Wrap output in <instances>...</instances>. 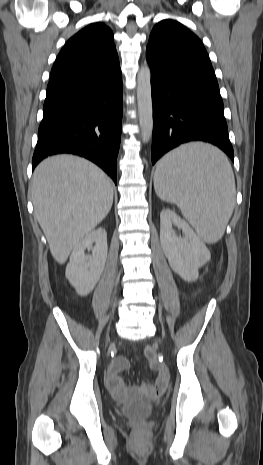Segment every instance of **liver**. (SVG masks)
I'll use <instances>...</instances> for the list:
<instances>
[{"label":"liver","mask_w":263,"mask_h":465,"mask_svg":"<svg viewBox=\"0 0 263 465\" xmlns=\"http://www.w3.org/2000/svg\"><path fill=\"white\" fill-rule=\"evenodd\" d=\"M31 191L35 217L59 264L66 262L113 204L110 178L90 161L73 155L43 160L33 173Z\"/></svg>","instance_id":"obj_1"}]
</instances>
